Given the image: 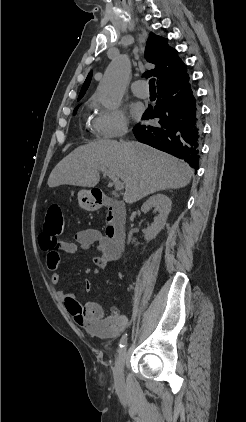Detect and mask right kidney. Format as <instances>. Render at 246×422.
<instances>
[{
	"label": "right kidney",
	"mask_w": 246,
	"mask_h": 422,
	"mask_svg": "<svg viewBox=\"0 0 246 422\" xmlns=\"http://www.w3.org/2000/svg\"><path fill=\"white\" fill-rule=\"evenodd\" d=\"M151 208H154L159 214L154 218L153 224L148 226L144 232L146 241L154 239L164 228L171 211V200L164 194L153 195L146 200L141 210L143 213H147Z\"/></svg>",
	"instance_id": "obj_1"
}]
</instances>
